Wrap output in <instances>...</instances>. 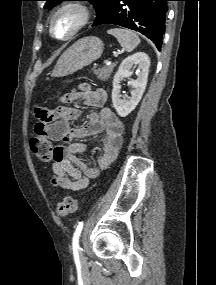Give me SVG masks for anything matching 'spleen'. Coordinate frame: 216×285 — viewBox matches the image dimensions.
<instances>
[{"label": "spleen", "instance_id": "spleen-1", "mask_svg": "<svg viewBox=\"0 0 216 285\" xmlns=\"http://www.w3.org/2000/svg\"><path fill=\"white\" fill-rule=\"evenodd\" d=\"M108 34L114 36L127 52L133 51L140 43L138 35L129 29L114 28L108 30Z\"/></svg>", "mask_w": 216, "mask_h": 285}]
</instances>
